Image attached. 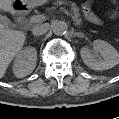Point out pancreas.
Listing matches in <instances>:
<instances>
[{
  "label": "pancreas",
  "instance_id": "1",
  "mask_svg": "<svg viewBox=\"0 0 119 119\" xmlns=\"http://www.w3.org/2000/svg\"><path fill=\"white\" fill-rule=\"evenodd\" d=\"M63 3L64 2L60 0V1H57L54 5L56 6L58 4H63ZM53 8L54 7L50 8V10L53 9ZM72 10L74 12L73 20L75 22V25H81L82 23H81L80 14L78 12V8L74 4H72Z\"/></svg>",
  "mask_w": 119,
  "mask_h": 119
}]
</instances>
